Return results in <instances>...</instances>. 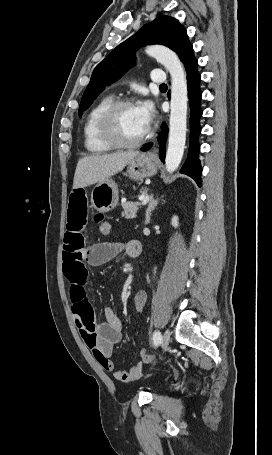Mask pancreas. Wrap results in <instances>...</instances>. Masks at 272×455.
<instances>
[{"instance_id":"1","label":"pancreas","mask_w":272,"mask_h":455,"mask_svg":"<svg viewBox=\"0 0 272 455\" xmlns=\"http://www.w3.org/2000/svg\"><path fill=\"white\" fill-rule=\"evenodd\" d=\"M146 192L144 191L143 194ZM140 202H126L122 204L123 212L122 216L126 219H133L136 217V214L140 208Z\"/></svg>"}]
</instances>
